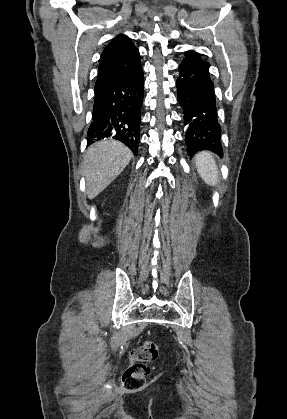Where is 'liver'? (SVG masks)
<instances>
[{
    "label": "liver",
    "mask_w": 287,
    "mask_h": 419,
    "mask_svg": "<svg viewBox=\"0 0 287 419\" xmlns=\"http://www.w3.org/2000/svg\"><path fill=\"white\" fill-rule=\"evenodd\" d=\"M131 158V150L117 140L99 141L91 145L83 162L88 198H95L109 186L129 164Z\"/></svg>",
    "instance_id": "6515ba94"
}]
</instances>
